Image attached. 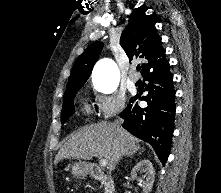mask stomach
Returning a JSON list of instances; mask_svg holds the SVG:
<instances>
[{"label": "stomach", "instance_id": "1", "mask_svg": "<svg viewBox=\"0 0 221 193\" xmlns=\"http://www.w3.org/2000/svg\"><path fill=\"white\" fill-rule=\"evenodd\" d=\"M88 172V168H87V164L85 162H78L73 164L72 166V173L75 176H84L86 175Z\"/></svg>", "mask_w": 221, "mask_h": 193}]
</instances>
